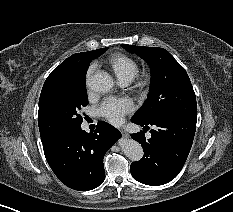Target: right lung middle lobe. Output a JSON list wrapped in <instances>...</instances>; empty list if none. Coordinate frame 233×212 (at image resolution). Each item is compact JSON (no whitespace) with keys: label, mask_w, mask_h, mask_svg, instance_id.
<instances>
[{"label":"right lung middle lobe","mask_w":233,"mask_h":212,"mask_svg":"<svg viewBox=\"0 0 233 212\" xmlns=\"http://www.w3.org/2000/svg\"><path fill=\"white\" fill-rule=\"evenodd\" d=\"M108 48L94 51L93 58ZM88 67L61 73L46 79L40 99L38 125L42 141L54 142L83 121L80 111L88 104L85 76Z\"/></svg>","instance_id":"1"}]
</instances>
